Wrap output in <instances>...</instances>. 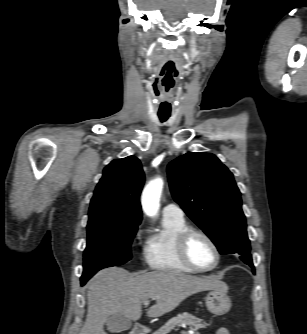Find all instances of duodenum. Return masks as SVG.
<instances>
[{
	"label": "duodenum",
	"mask_w": 307,
	"mask_h": 334,
	"mask_svg": "<svg viewBox=\"0 0 307 334\" xmlns=\"http://www.w3.org/2000/svg\"><path fill=\"white\" fill-rule=\"evenodd\" d=\"M131 334H148V330L144 327H136Z\"/></svg>",
	"instance_id": "410a0bca"
}]
</instances>
